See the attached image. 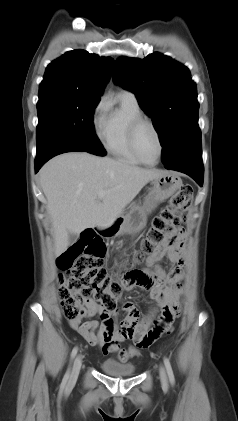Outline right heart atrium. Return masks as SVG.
I'll return each instance as SVG.
<instances>
[{"mask_svg":"<svg viewBox=\"0 0 238 421\" xmlns=\"http://www.w3.org/2000/svg\"><path fill=\"white\" fill-rule=\"evenodd\" d=\"M108 109V102L106 97H101L95 105L92 112V124L98 134L101 133L106 113Z\"/></svg>","mask_w":238,"mask_h":421,"instance_id":"right-heart-atrium-1","label":"right heart atrium"}]
</instances>
